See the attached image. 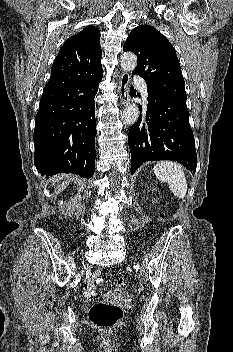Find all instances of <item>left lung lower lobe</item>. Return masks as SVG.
Returning a JSON list of instances; mask_svg holds the SVG:
<instances>
[{"instance_id": "left-lung-lower-lobe-1", "label": "left lung lower lobe", "mask_w": 233, "mask_h": 352, "mask_svg": "<svg viewBox=\"0 0 233 352\" xmlns=\"http://www.w3.org/2000/svg\"><path fill=\"white\" fill-rule=\"evenodd\" d=\"M135 91L131 87L132 97L136 96ZM147 91L146 115H139L128 133L131 172L135 173L142 163L152 160L177 161L195 172L197 154L186 104L148 87Z\"/></svg>"}]
</instances>
